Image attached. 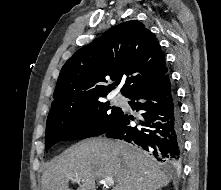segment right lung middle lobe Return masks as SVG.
<instances>
[{"mask_svg": "<svg viewBox=\"0 0 221 190\" xmlns=\"http://www.w3.org/2000/svg\"><path fill=\"white\" fill-rule=\"evenodd\" d=\"M120 107L102 99L68 104L50 109L45 149L63 140H81L106 133L121 117Z\"/></svg>", "mask_w": 221, "mask_h": 190, "instance_id": "1", "label": "right lung middle lobe"}]
</instances>
